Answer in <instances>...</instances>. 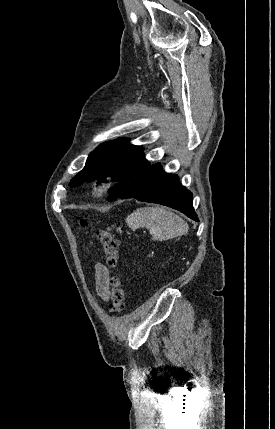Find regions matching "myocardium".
Masks as SVG:
<instances>
[{
  "instance_id": "f54148a6",
  "label": "myocardium",
  "mask_w": 275,
  "mask_h": 429,
  "mask_svg": "<svg viewBox=\"0 0 275 429\" xmlns=\"http://www.w3.org/2000/svg\"><path fill=\"white\" fill-rule=\"evenodd\" d=\"M114 182L110 178L96 181L92 186V194L97 197H103L106 195L113 187Z\"/></svg>"
}]
</instances>
